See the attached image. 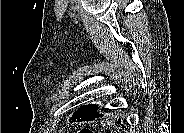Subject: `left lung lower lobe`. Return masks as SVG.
Returning a JSON list of instances; mask_svg holds the SVG:
<instances>
[{"label": "left lung lower lobe", "instance_id": "obj_1", "mask_svg": "<svg viewBox=\"0 0 184 133\" xmlns=\"http://www.w3.org/2000/svg\"><path fill=\"white\" fill-rule=\"evenodd\" d=\"M97 105H92L89 104L88 106L84 105L81 106L80 108H78V110H76L72 117L70 118V122H81V121H90V120H94L98 117H102L104 116L107 112V109L98 111L97 110ZM121 120L119 119L116 123L120 124ZM121 126H123L121 124Z\"/></svg>", "mask_w": 184, "mask_h": 133}]
</instances>
